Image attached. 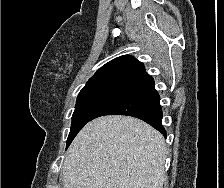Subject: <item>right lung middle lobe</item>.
<instances>
[{"instance_id":"right-lung-middle-lobe-1","label":"right lung middle lobe","mask_w":224,"mask_h":188,"mask_svg":"<svg viewBox=\"0 0 224 188\" xmlns=\"http://www.w3.org/2000/svg\"><path fill=\"white\" fill-rule=\"evenodd\" d=\"M129 82L130 80L126 79H103L87 82L76 101L67 148L94 113Z\"/></svg>"}]
</instances>
